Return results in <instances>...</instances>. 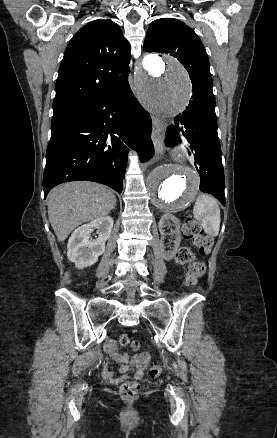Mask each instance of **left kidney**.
Returning a JSON list of instances; mask_svg holds the SVG:
<instances>
[{
  "label": "left kidney",
  "instance_id": "5707ae66",
  "mask_svg": "<svg viewBox=\"0 0 277 438\" xmlns=\"http://www.w3.org/2000/svg\"><path fill=\"white\" fill-rule=\"evenodd\" d=\"M174 222L175 226H177L175 232H173V234H176V240L174 242L175 246L173 248V252L172 254H167V252H164V250H162V256L164 258V260H166V262H170V260H173L179 246H180V242H181V236H180V220H177V218H174L173 214H170V212H167V214H164V216H162L160 222H159V232L162 236L161 240H163V228H164V224H166V222Z\"/></svg>",
  "mask_w": 277,
  "mask_h": 438
}]
</instances>
